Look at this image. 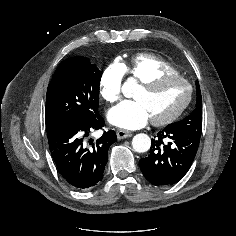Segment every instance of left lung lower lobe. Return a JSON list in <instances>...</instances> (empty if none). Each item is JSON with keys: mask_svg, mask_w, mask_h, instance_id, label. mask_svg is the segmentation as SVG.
Wrapping results in <instances>:
<instances>
[{"mask_svg": "<svg viewBox=\"0 0 236 236\" xmlns=\"http://www.w3.org/2000/svg\"><path fill=\"white\" fill-rule=\"evenodd\" d=\"M200 136L190 131L165 127L156 139H152L150 155L139 161L145 178L155 186H170L180 181L192 165Z\"/></svg>", "mask_w": 236, "mask_h": 236, "instance_id": "0a47b994", "label": "left lung lower lobe"}]
</instances>
